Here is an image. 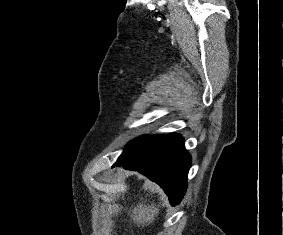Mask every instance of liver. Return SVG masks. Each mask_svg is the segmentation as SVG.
Returning <instances> with one entry per match:
<instances>
[{
  "label": "liver",
  "instance_id": "6515ba94",
  "mask_svg": "<svg viewBox=\"0 0 283 235\" xmlns=\"http://www.w3.org/2000/svg\"><path fill=\"white\" fill-rule=\"evenodd\" d=\"M131 212V220L137 226H147L154 222L155 217L159 214V207L152 204L151 206H144L143 203L137 204L136 207L130 210Z\"/></svg>",
  "mask_w": 283,
  "mask_h": 235
}]
</instances>
